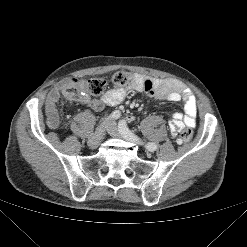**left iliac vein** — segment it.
I'll return each mask as SVG.
<instances>
[{
	"label": "left iliac vein",
	"mask_w": 247,
	"mask_h": 247,
	"mask_svg": "<svg viewBox=\"0 0 247 247\" xmlns=\"http://www.w3.org/2000/svg\"><path fill=\"white\" fill-rule=\"evenodd\" d=\"M106 129L108 131V133L114 137H118V138H123L127 141H130V142H134L136 143L137 145H141L142 142L139 138H135V137H129V136H126L124 134H122L119 129L116 127L115 123L111 122V123H108L107 126H106Z\"/></svg>",
	"instance_id": "1"
}]
</instances>
